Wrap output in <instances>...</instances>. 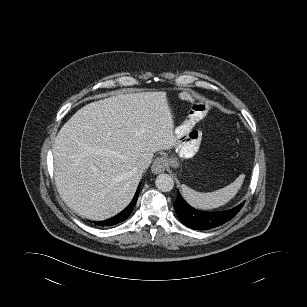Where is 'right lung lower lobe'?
I'll return each mask as SVG.
<instances>
[{
	"label": "right lung lower lobe",
	"instance_id": "98d812e1",
	"mask_svg": "<svg viewBox=\"0 0 307 307\" xmlns=\"http://www.w3.org/2000/svg\"><path fill=\"white\" fill-rule=\"evenodd\" d=\"M139 190H140V185L136 191V194L132 200V202L130 203V205L124 209L122 212H120L118 215L108 219V220H104V221H99V222H95L96 225L98 226H102V227H106V226H113V225H116L124 220H126L128 218V216L131 214L135 204H136V201L138 199V196H139Z\"/></svg>",
	"mask_w": 307,
	"mask_h": 307
}]
</instances>
